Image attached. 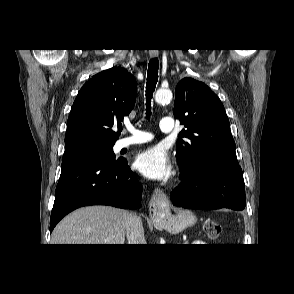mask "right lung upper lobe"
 I'll use <instances>...</instances> for the list:
<instances>
[{
  "instance_id": "right-lung-upper-lobe-1",
  "label": "right lung upper lobe",
  "mask_w": 294,
  "mask_h": 294,
  "mask_svg": "<svg viewBox=\"0 0 294 294\" xmlns=\"http://www.w3.org/2000/svg\"><path fill=\"white\" fill-rule=\"evenodd\" d=\"M137 85L132 74L113 67L92 77L80 89L68 117L65 144L84 139L115 142L123 116L135 103ZM118 125V132L112 127Z\"/></svg>"
}]
</instances>
